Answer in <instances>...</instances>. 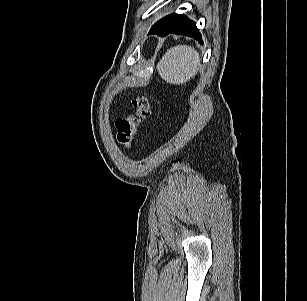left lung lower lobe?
Wrapping results in <instances>:
<instances>
[{"instance_id": "0a47b994", "label": "left lung lower lobe", "mask_w": 307, "mask_h": 301, "mask_svg": "<svg viewBox=\"0 0 307 301\" xmlns=\"http://www.w3.org/2000/svg\"><path fill=\"white\" fill-rule=\"evenodd\" d=\"M170 33L193 37L202 43L201 34L193 21L184 15L172 13L154 24L148 34H157L164 37Z\"/></svg>"}]
</instances>
